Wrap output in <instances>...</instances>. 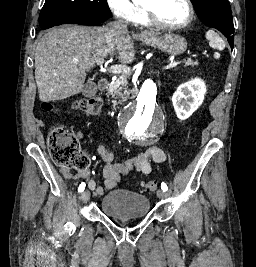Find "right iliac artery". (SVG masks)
Listing matches in <instances>:
<instances>
[{
  "mask_svg": "<svg viewBox=\"0 0 256 267\" xmlns=\"http://www.w3.org/2000/svg\"><path fill=\"white\" fill-rule=\"evenodd\" d=\"M85 186H86L85 183L82 182V183L80 184L79 188H78V192H83L84 189H85Z\"/></svg>",
  "mask_w": 256,
  "mask_h": 267,
  "instance_id": "right-iliac-artery-1",
  "label": "right iliac artery"
}]
</instances>
